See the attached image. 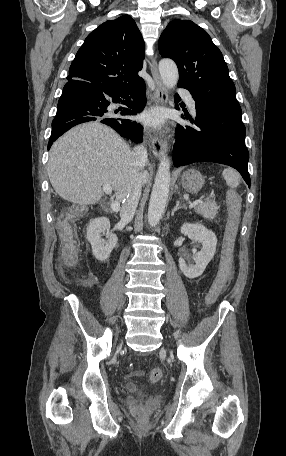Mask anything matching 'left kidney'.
Masks as SVG:
<instances>
[{"label": "left kidney", "instance_id": "obj_1", "mask_svg": "<svg viewBox=\"0 0 286 456\" xmlns=\"http://www.w3.org/2000/svg\"><path fill=\"white\" fill-rule=\"evenodd\" d=\"M180 230L182 234L187 235L190 239L202 244L201 251L196 253L194 257L195 265L187 264L183 258H179L180 270L186 277L193 279L202 275L205 268L214 257L217 238L213 231L199 223H184Z\"/></svg>", "mask_w": 286, "mask_h": 456}]
</instances>
